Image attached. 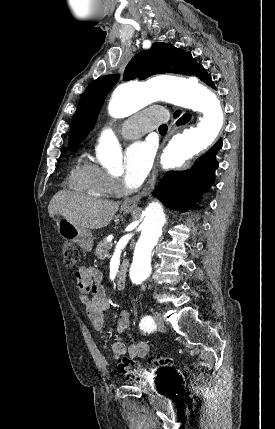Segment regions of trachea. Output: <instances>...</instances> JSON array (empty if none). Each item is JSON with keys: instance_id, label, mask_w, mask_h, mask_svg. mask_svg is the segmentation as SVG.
Listing matches in <instances>:
<instances>
[{"instance_id": "1", "label": "trachea", "mask_w": 275, "mask_h": 429, "mask_svg": "<svg viewBox=\"0 0 275 429\" xmlns=\"http://www.w3.org/2000/svg\"><path fill=\"white\" fill-rule=\"evenodd\" d=\"M167 129H168V126L167 125H165V124H163V125H161L160 127H159V132L160 133H166L167 132Z\"/></svg>"}]
</instances>
